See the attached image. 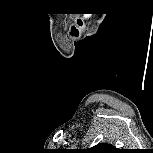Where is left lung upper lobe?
<instances>
[{
    "label": "left lung upper lobe",
    "instance_id": "1",
    "mask_svg": "<svg viewBox=\"0 0 153 153\" xmlns=\"http://www.w3.org/2000/svg\"><path fill=\"white\" fill-rule=\"evenodd\" d=\"M114 148L108 144H98L91 148V151H107L113 150Z\"/></svg>",
    "mask_w": 153,
    "mask_h": 153
}]
</instances>
